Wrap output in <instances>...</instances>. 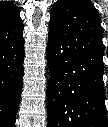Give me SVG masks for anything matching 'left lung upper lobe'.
<instances>
[{
	"label": "left lung upper lobe",
	"instance_id": "obj_1",
	"mask_svg": "<svg viewBox=\"0 0 108 127\" xmlns=\"http://www.w3.org/2000/svg\"><path fill=\"white\" fill-rule=\"evenodd\" d=\"M75 72H76V68L74 66H71L69 67L67 70H66V75L68 76V79L70 81V84H74L73 83V80L75 78Z\"/></svg>",
	"mask_w": 108,
	"mask_h": 127
}]
</instances>
